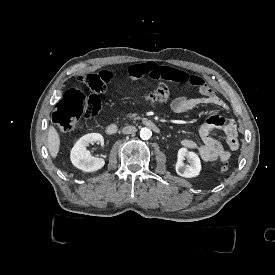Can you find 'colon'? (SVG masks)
Wrapping results in <instances>:
<instances>
[{"label":"colon","mask_w":275,"mask_h":275,"mask_svg":"<svg viewBox=\"0 0 275 275\" xmlns=\"http://www.w3.org/2000/svg\"><path fill=\"white\" fill-rule=\"evenodd\" d=\"M99 72H79L77 80L79 83H88L94 93L85 94L78 89H68L64 98L60 100L53 112V121L60 131L72 130L81 119L95 116L101 107L97 95H105L109 86L104 85L99 79ZM171 97V91L163 80H156L151 85V92L144 96L150 103H158ZM220 170L227 174L231 167L228 161L220 163Z\"/></svg>","instance_id":"obj_1"}]
</instances>
